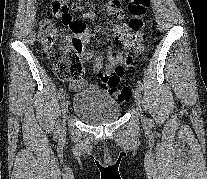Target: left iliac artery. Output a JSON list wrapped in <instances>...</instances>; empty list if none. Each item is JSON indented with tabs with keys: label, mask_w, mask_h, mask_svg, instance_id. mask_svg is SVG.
Here are the masks:
<instances>
[{
	"label": "left iliac artery",
	"mask_w": 207,
	"mask_h": 179,
	"mask_svg": "<svg viewBox=\"0 0 207 179\" xmlns=\"http://www.w3.org/2000/svg\"><path fill=\"white\" fill-rule=\"evenodd\" d=\"M137 88L141 91L143 90V84L141 81H137Z\"/></svg>",
	"instance_id": "1"
}]
</instances>
